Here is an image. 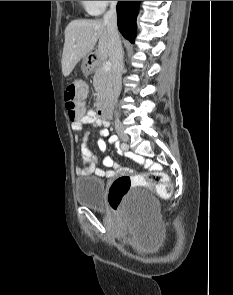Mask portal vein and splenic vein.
<instances>
[{
    "mask_svg": "<svg viewBox=\"0 0 233 295\" xmlns=\"http://www.w3.org/2000/svg\"><path fill=\"white\" fill-rule=\"evenodd\" d=\"M103 70L110 71L111 70V63L110 62H105L103 64Z\"/></svg>",
    "mask_w": 233,
    "mask_h": 295,
    "instance_id": "18ae733b",
    "label": "portal vein and splenic vein"
}]
</instances>
